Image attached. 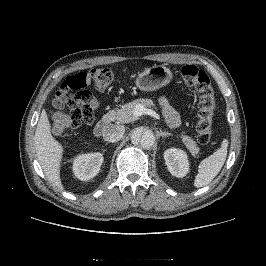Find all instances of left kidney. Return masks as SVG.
Returning a JSON list of instances; mask_svg holds the SVG:
<instances>
[{"label": "left kidney", "mask_w": 266, "mask_h": 266, "mask_svg": "<svg viewBox=\"0 0 266 266\" xmlns=\"http://www.w3.org/2000/svg\"><path fill=\"white\" fill-rule=\"evenodd\" d=\"M165 164L168 171L175 177H184L189 171L187 154L176 148H170L164 153Z\"/></svg>", "instance_id": "1"}]
</instances>
